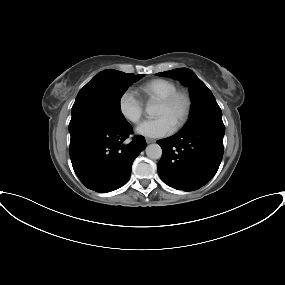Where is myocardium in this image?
I'll use <instances>...</instances> for the list:
<instances>
[{
  "label": "myocardium",
  "mask_w": 285,
  "mask_h": 285,
  "mask_svg": "<svg viewBox=\"0 0 285 285\" xmlns=\"http://www.w3.org/2000/svg\"><path fill=\"white\" fill-rule=\"evenodd\" d=\"M178 99H183L185 102V110L179 119V121L176 123L174 126V130H179L181 129L190 119L192 110H193V98L191 93L183 88H177L173 92H171L169 95L166 97L162 98L161 100L158 101L159 104L163 106H171L174 104Z\"/></svg>",
  "instance_id": "obj_1"
}]
</instances>
